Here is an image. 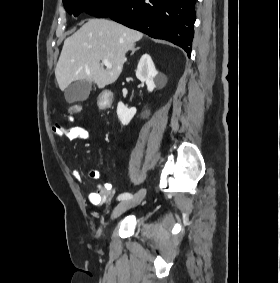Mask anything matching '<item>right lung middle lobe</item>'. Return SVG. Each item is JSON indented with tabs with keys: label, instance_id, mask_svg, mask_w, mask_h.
Masks as SVG:
<instances>
[{
	"label": "right lung middle lobe",
	"instance_id": "dd1d6c3e",
	"mask_svg": "<svg viewBox=\"0 0 280 283\" xmlns=\"http://www.w3.org/2000/svg\"><path fill=\"white\" fill-rule=\"evenodd\" d=\"M131 0H63L65 9L69 14L78 16L85 11L96 17H109L121 10Z\"/></svg>",
	"mask_w": 280,
	"mask_h": 283
}]
</instances>
